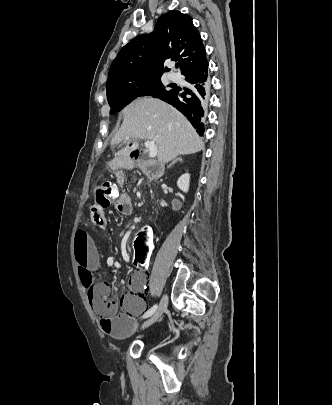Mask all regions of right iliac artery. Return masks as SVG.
Here are the masks:
<instances>
[{"instance_id":"1","label":"right iliac artery","mask_w":332,"mask_h":405,"mask_svg":"<svg viewBox=\"0 0 332 405\" xmlns=\"http://www.w3.org/2000/svg\"><path fill=\"white\" fill-rule=\"evenodd\" d=\"M157 309V304H155L153 307H151L148 311H146L144 313V315L142 316V318H147L150 317Z\"/></svg>"}]
</instances>
